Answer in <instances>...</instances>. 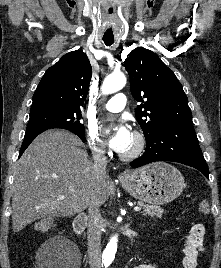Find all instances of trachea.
I'll use <instances>...</instances> for the list:
<instances>
[{
	"instance_id": "obj_1",
	"label": "trachea",
	"mask_w": 221,
	"mask_h": 268,
	"mask_svg": "<svg viewBox=\"0 0 221 268\" xmlns=\"http://www.w3.org/2000/svg\"><path fill=\"white\" fill-rule=\"evenodd\" d=\"M106 46H111L114 42V39H103Z\"/></svg>"
}]
</instances>
